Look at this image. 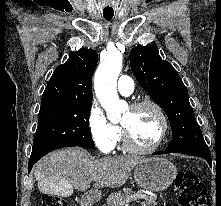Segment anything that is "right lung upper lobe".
Returning <instances> with one entry per match:
<instances>
[{
    "mask_svg": "<svg viewBox=\"0 0 221 206\" xmlns=\"http://www.w3.org/2000/svg\"><path fill=\"white\" fill-rule=\"evenodd\" d=\"M98 55L92 49L72 52L54 70L42 95L41 108L92 104V74Z\"/></svg>",
    "mask_w": 221,
    "mask_h": 206,
    "instance_id": "obj_1",
    "label": "right lung upper lobe"
}]
</instances>
